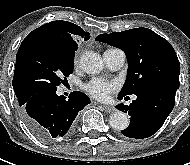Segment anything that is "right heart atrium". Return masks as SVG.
<instances>
[{
    "mask_svg": "<svg viewBox=\"0 0 190 165\" xmlns=\"http://www.w3.org/2000/svg\"><path fill=\"white\" fill-rule=\"evenodd\" d=\"M78 60H79V57H78V55H76V56H75V59H74V62L77 63Z\"/></svg>",
    "mask_w": 190,
    "mask_h": 165,
    "instance_id": "right-heart-atrium-1",
    "label": "right heart atrium"
}]
</instances>
